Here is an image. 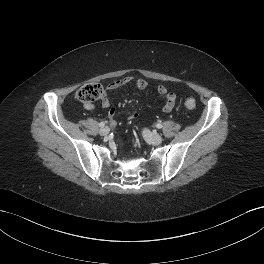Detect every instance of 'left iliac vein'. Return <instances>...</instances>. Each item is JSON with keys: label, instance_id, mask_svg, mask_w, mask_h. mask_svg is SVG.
<instances>
[{"label": "left iliac vein", "instance_id": "4c4485c4", "mask_svg": "<svg viewBox=\"0 0 264 264\" xmlns=\"http://www.w3.org/2000/svg\"><path fill=\"white\" fill-rule=\"evenodd\" d=\"M143 134H144V137L147 139V141L153 145H159L163 140L161 135L157 133H152L148 130H144Z\"/></svg>", "mask_w": 264, "mask_h": 264}]
</instances>
